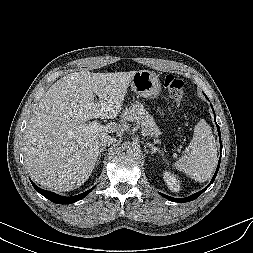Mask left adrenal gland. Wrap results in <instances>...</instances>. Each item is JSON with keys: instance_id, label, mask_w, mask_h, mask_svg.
Here are the masks:
<instances>
[{"instance_id": "a2214340", "label": "left adrenal gland", "mask_w": 253, "mask_h": 253, "mask_svg": "<svg viewBox=\"0 0 253 253\" xmlns=\"http://www.w3.org/2000/svg\"><path fill=\"white\" fill-rule=\"evenodd\" d=\"M146 144H147V146H149L151 148L152 154H154L156 152L161 153V150L159 148L155 147L153 144H151L149 142H147Z\"/></svg>"}]
</instances>
